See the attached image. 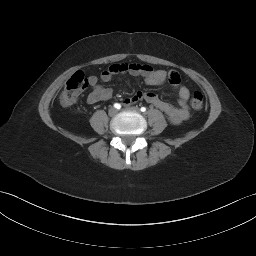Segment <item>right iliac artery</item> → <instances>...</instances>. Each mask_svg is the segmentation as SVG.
Masks as SVG:
<instances>
[{
	"label": "right iliac artery",
	"instance_id": "82829eb1",
	"mask_svg": "<svg viewBox=\"0 0 256 256\" xmlns=\"http://www.w3.org/2000/svg\"><path fill=\"white\" fill-rule=\"evenodd\" d=\"M114 107H115L116 109H120V108H121V105H120L119 103H115V104H114Z\"/></svg>",
	"mask_w": 256,
	"mask_h": 256
}]
</instances>
